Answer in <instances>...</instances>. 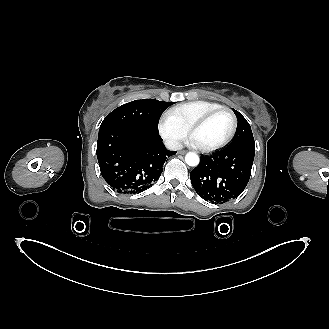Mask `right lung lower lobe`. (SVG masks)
Instances as JSON below:
<instances>
[{"label":"right lung lower lobe","instance_id":"98d812e1","mask_svg":"<svg viewBox=\"0 0 329 329\" xmlns=\"http://www.w3.org/2000/svg\"><path fill=\"white\" fill-rule=\"evenodd\" d=\"M96 153L105 181L118 193L135 194L159 179L164 162L176 151L165 148L159 133L108 126L99 130Z\"/></svg>","mask_w":329,"mask_h":329}]
</instances>
